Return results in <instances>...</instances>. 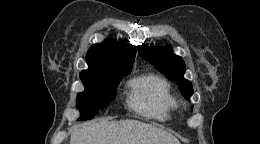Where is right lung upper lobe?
Segmentation results:
<instances>
[{"mask_svg":"<svg viewBox=\"0 0 260 144\" xmlns=\"http://www.w3.org/2000/svg\"><path fill=\"white\" fill-rule=\"evenodd\" d=\"M135 54V46L107 39L90 47L86 55L89 68L80 76L131 71Z\"/></svg>","mask_w":260,"mask_h":144,"instance_id":"cb5924a9","label":"right lung upper lobe"}]
</instances>
